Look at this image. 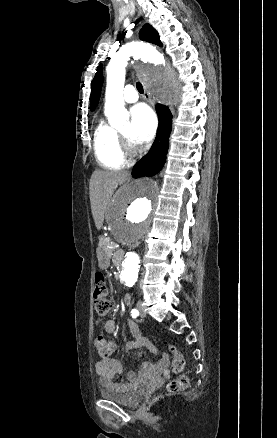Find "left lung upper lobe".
<instances>
[{
  "instance_id": "left-lung-upper-lobe-1",
  "label": "left lung upper lobe",
  "mask_w": 277,
  "mask_h": 438,
  "mask_svg": "<svg viewBox=\"0 0 277 438\" xmlns=\"http://www.w3.org/2000/svg\"><path fill=\"white\" fill-rule=\"evenodd\" d=\"M139 34H140L139 38L141 40L154 43L158 46H162L158 32L151 25L145 24L143 28L140 30ZM102 83H103L102 65H99L97 67V72L95 74V77L92 81V90L90 96L91 111H93L98 104Z\"/></svg>"
}]
</instances>
